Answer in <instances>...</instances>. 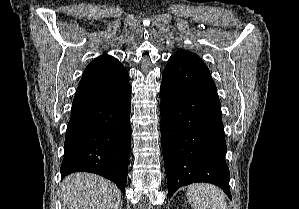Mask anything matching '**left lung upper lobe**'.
Returning <instances> with one entry per match:
<instances>
[{"instance_id": "left-lung-upper-lobe-1", "label": "left lung upper lobe", "mask_w": 299, "mask_h": 209, "mask_svg": "<svg viewBox=\"0 0 299 209\" xmlns=\"http://www.w3.org/2000/svg\"><path fill=\"white\" fill-rule=\"evenodd\" d=\"M174 59H182V60H193V61H202L198 55L184 49H180L175 52V54L171 57Z\"/></svg>"}]
</instances>
